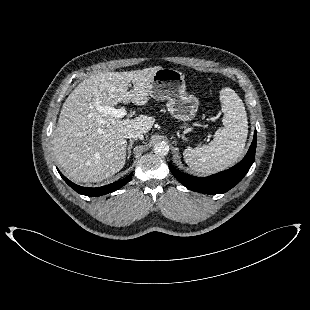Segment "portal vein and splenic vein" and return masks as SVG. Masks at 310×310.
Masks as SVG:
<instances>
[{"label": "portal vein and splenic vein", "mask_w": 310, "mask_h": 310, "mask_svg": "<svg viewBox=\"0 0 310 310\" xmlns=\"http://www.w3.org/2000/svg\"><path fill=\"white\" fill-rule=\"evenodd\" d=\"M98 110L105 114H110L116 118H122L128 114L127 110L124 108L116 109L110 106H101Z\"/></svg>", "instance_id": "18ae733b"}]
</instances>
